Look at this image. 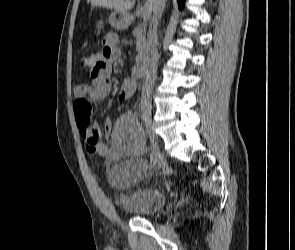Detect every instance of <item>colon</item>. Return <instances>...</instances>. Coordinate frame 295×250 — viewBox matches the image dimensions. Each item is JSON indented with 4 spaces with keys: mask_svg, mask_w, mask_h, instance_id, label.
<instances>
[{
    "mask_svg": "<svg viewBox=\"0 0 295 250\" xmlns=\"http://www.w3.org/2000/svg\"><path fill=\"white\" fill-rule=\"evenodd\" d=\"M81 67L90 69L93 66L92 54H85L80 60ZM74 112L77 124L80 128H88L92 118V104L87 99H79L75 101Z\"/></svg>",
    "mask_w": 295,
    "mask_h": 250,
    "instance_id": "5ec220e1",
    "label": "colon"
}]
</instances>
